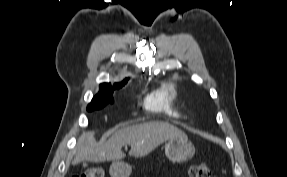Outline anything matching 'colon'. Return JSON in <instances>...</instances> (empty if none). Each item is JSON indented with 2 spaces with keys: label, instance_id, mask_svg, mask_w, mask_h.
I'll use <instances>...</instances> for the list:
<instances>
[{
  "label": "colon",
  "instance_id": "5ec220e1",
  "mask_svg": "<svg viewBox=\"0 0 287 177\" xmlns=\"http://www.w3.org/2000/svg\"><path fill=\"white\" fill-rule=\"evenodd\" d=\"M105 172L100 167L88 169L84 174L73 177H104ZM189 177H214L209 165L206 163L195 164L190 168Z\"/></svg>",
  "mask_w": 287,
  "mask_h": 177
}]
</instances>
